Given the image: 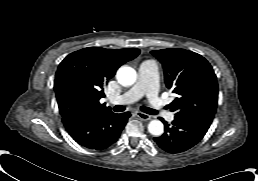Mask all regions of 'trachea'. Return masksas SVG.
Listing matches in <instances>:
<instances>
[{"label": "trachea", "instance_id": "3493384b", "mask_svg": "<svg viewBox=\"0 0 258 181\" xmlns=\"http://www.w3.org/2000/svg\"><path fill=\"white\" fill-rule=\"evenodd\" d=\"M125 110V107L122 106V105H116L114 106V111L115 112H122ZM141 110L147 114H150V115H156L157 112L151 108H148V107H141Z\"/></svg>", "mask_w": 258, "mask_h": 181}]
</instances>
